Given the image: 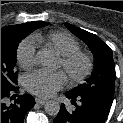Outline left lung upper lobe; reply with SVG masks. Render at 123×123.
Returning a JSON list of instances; mask_svg holds the SVG:
<instances>
[{
  "label": "left lung upper lobe",
  "mask_w": 123,
  "mask_h": 123,
  "mask_svg": "<svg viewBox=\"0 0 123 123\" xmlns=\"http://www.w3.org/2000/svg\"><path fill=\"white\" fill-rule=\"evenodd\" d=\"M65 24L72 33L89 46L95 60L93 73L87 82L68 92L76 95H98L113 100L115 66L112 50L95 34L69 23Z\"/></svg>",
  "instance_id": "1"
}]
</instances>
